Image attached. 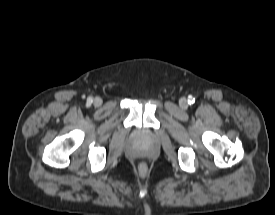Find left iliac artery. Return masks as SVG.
<instances>
[{
	"mask_svg": "<svg viewBox=\"0 0 275 215\" xmlns=\"http://www.w3.org/2000/svg\"><path fill=\"white\" fill-rule=\"evenodd\" d=\"M194 102H195V99L192 98V96H189V97H188V103H189V104H193Z\"/></svg>",
	"mask_w": 275,
	"mask_h": 215,
	"instance_id": "1",
	"label": "left iliac artery"
}]
</instances>
